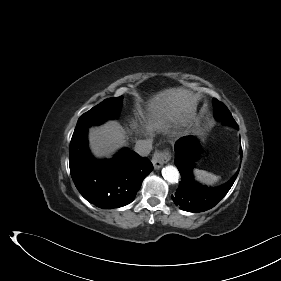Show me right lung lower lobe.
I'll use <instances>...</instances> for the list:
<instances>
[{
	"instance_id": "right-lung-lower-lobe-1",
	"label": "right lung lower lobe",
	"mask_w": 281,
	"mask_h": 281,
	"mask_svg": "<svg viewBox=\"0 0 281 281\" xmlns=\"http://www.w3.org/2000/svg\"><path fill=\"white\" fill-rule=\"evenodd\" d=\"M69 167L81 195L102 209L133 201L143 179L153 170L147 158L123 149L111 160H96L87 147V129L74 132L69 148Z\"/></svg>"
}]
</instances>
